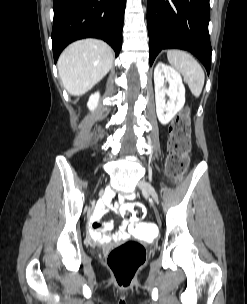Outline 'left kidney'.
<instances>
[{"label": "left kidney", "instance_id": "left-kidney-1", "mask_svg": "<svg viewBox=\"0 0 247 304\" xmlns=\"http://www.w3.org/2000/svg\"><path fill=\"white\" fill-rule=\"evenodd\" d=\"M165 80L169 88L164 86ZM156 112L159 121L165 125L183 108L185 87L180 74L172 67L158 62L154 69ZM165 95L169 97L166 103Z\"/></svg>", "mask_w": 247, "mask_h": 304}]
</instances>
